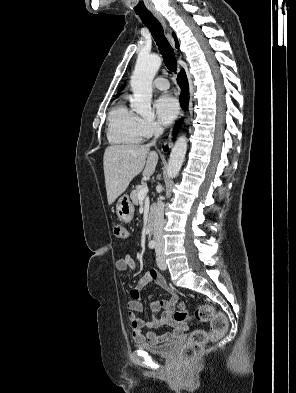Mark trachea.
Here are the masks:
<instances>
[{
  "label": "trachea",
  "mask_w": 296,
  "mask_h": 393,
  "mask_svg": "<svg viewBox=\"0 0 296 393\" xmlns=\"http://www.w3.org/2000/svg\"><path fill=\"white\" fill-rule=\"evenodd\" d=\"M145 26L150 30L158 49L163 57L165 66L170 72H176L177 62L175 59L174 51L166 39L163 27L160 22L149 11L137 13Z\"/></svg>",
  "instance_id": "trachea-1"
}]
</instances>
